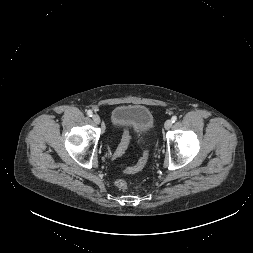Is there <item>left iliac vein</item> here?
I'll return each instance as SVG.
<instances>
[{
    "label": "left iliac vein",
    "instance_id": "1",
    "mask_svg": "<svg viewBox=\"0 0 253 253\" xmlns=\"http://www.w3.org/2000/svg\"><path fill=\"white\" fill-rule=\"evenodd\" d=\"M172 126V120H167L164 124L166 130L170 129Z\"/></svg>",
    "mask_w": 253,
    "mask_h": 253
}]
</instances>
